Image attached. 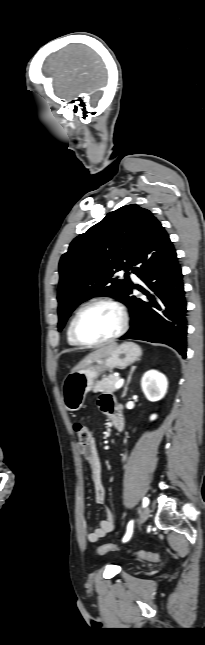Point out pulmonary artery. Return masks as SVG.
I'll return each mask as SVG.
<instances>
[{"label":"pulmonary artery","mask_w":205,"mask_h":645,"mask_svg":"<svg viewBox=\"0 0 205 645\" xmlns=\"http://www.w3.org/2000/svg\"><path fill=\"white\" fill-rule=\"evenodd\" d=\"M122 273H124V271H122ZM129 274H130L132 279H137L136 275L134 273H132L131 271H129Z\"/></svg>","instance_id":"e3ab8cb5"}]
</instances>
